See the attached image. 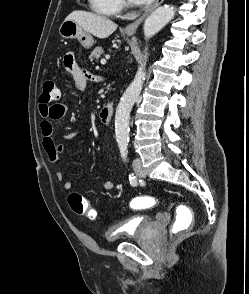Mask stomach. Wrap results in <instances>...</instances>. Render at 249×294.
<instances>
[{
  "label": "stomach",
  "mask_w": 249,
  "mask_h": 294,
  "mask_svg": "<svg viewBox=\"0 0 249 294\" xmlns=\"http://www.w3.org/2000/svg\"><path fill=\"white\" fill-rule=\"evenodd\" d=\"M59 34L64 39H77L85 49L91 48L94 43L93 37L72 20L65 19L61 23ZM127 35H131V33H127Z\"/></svg>",
  "instance_id": "1"
}]
</instances>
